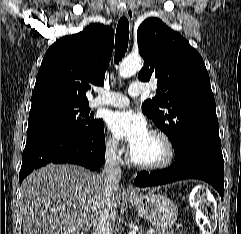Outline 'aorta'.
<instances>
[{"instance_id": "762f6f07", "label": "aorta", "mask_w": 241, "mask_h": 234, "mask_svg": "<svg viewBox=\"0 0 241 234\" xmlns=\"http://www.w3.org/2000/svg\"><path fill=\"white\" fill-rule=\"evenodd\" d=\"M142 58L140 56H128L126 57L119 68L120 77L127 78L134 75L142 67Z\"/></svg>"}]
</instances>
